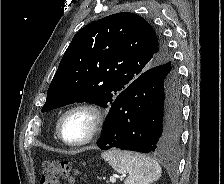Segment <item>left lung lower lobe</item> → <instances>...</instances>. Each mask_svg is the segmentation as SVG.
<instances>
[{"label":"left lung lower lobe","instance_id":"left-lung-lower-lobe-1","mask_svg":"<svg viewBox=\"0 0 224 184\" xmlns=\"http://www.w3.org/2000/svg\"><path fill=\"white\" fill-rule=\"evenodd\" d=\"M171 63L143 72L112 102L97 146L166 153L179 143L181 85Z\"/></svg>","mask_w":224,"mask_h":184}]
</instances>
